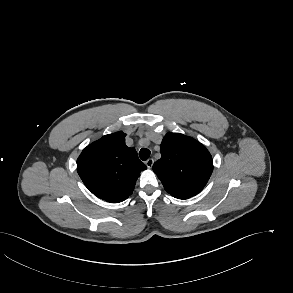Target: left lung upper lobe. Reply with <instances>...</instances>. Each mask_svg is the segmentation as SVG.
Segmentation results:
<instances>
[{"label": "left lung upper lobe", "instance_id": "left-lung-upper-lobe-1", "mask_svg": "<svg viewBox=\"0 0 293 293\" xmlns=\"http://www.w3.org/2000/svg\"><path fill=\"white\" fill-rule=\"evenodd\" d=\"M160 150L161 158L154 163L153 171L169 194L188 199L205 187L213 160L204 145L180 133H167Z\"/></svg>", "mask_w": 293, "mask_h": 293}]
</instances>
